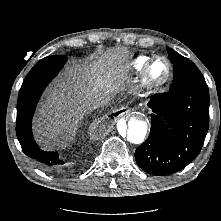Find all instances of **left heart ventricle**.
<instances>
[{
  "label": "left heart ventricle",
  "mask_w": 221,
  "mask_h": 221,
  "mask_svg": "<svg viewBox=\"0 0 221 221\" xmlns=\"http://www.w3.org/2000/svg\"><path fill=\"white\" fill-rule=\"evenodd\" d=\"M168 72V66L166 62L162 59H159L154 62L150 71L151 79L155 81L163 80Z\"/></svg>",
  "instance_id": "1"
}]
</instances>
